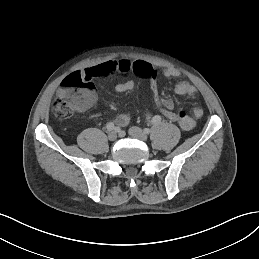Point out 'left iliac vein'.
Segmentation results:
<instances>
[{"label":"left iliac vein","instance_id":"1","mask_svg":"<svg viewBox=\"0 0 259 259\" xmlns=\"http://www.w3.org/2000/svg\"><path fill=\"white\" fill-rule=\"evenodd\" d=\"M128 132L131 137L139 139L141 141H146L148 138L147 134L139 127H130Z\"/></svg>","mask_w":259,"mask_h":259}]
</instances>
